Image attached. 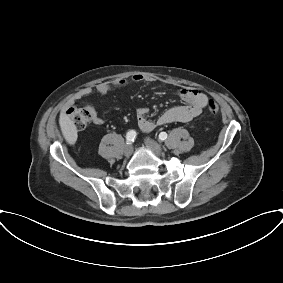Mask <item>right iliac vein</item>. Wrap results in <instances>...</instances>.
I'll use <instances>...</instances> for the list:
<instances>
[{
	"label": "right iliac vein",
	"instance_id": "1",
	"mask_svg": "<svg viewBox=\"0 0 283 283\" xmlns=\"http://www.w3.org/2000/svg\"><path fill=\"white\" fill-rule=\"evenodd\" d=\"M132 151H133L132 145L130 144L125 145L123 152L126 157H129L132 154Z\"/></svg>",
	"mask_w": 283,
	"mask_h": 283
}]
</instances>
